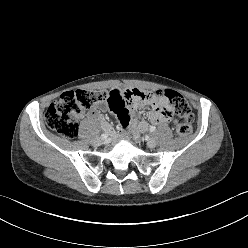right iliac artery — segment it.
I'll list each match as a JSON object with an SVG mask.
<instances>
[{
    "mask_svg": "<svg viewBox=\"0 0 248 248\" xmlns=\"http://www.w3.org/2000/svg\"><path fill=\"white\" fill-rule=\"evenodd\" d=\"M107 137H108V134H106V133H104V134L101 135V138L102 139H106Z\"/></svg>",
    "mask_w": 248,
    "mask_h": 248,
    "instance_id": "right-iliac-artery-1",
    "label": "right iliac artery"
}]
</instances>
